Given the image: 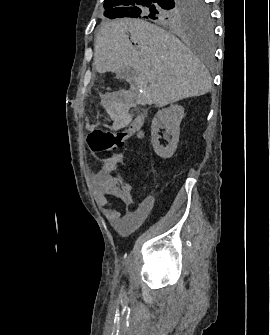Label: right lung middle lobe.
Wrapping results in <instances>:
<instances>
[{
  "instance_id": "right-lung-middle-lobe-1",
  "label": "right lung middle lobe",
  "mask_w": 270,
  "mask_h": 335,
  "mask_svg": "<svg viewBox=\"0 0 270 335\" xmlns=\"http://www.w3.org/2000/svg\"><path fill=\"white\" fill-rule=\"evenodd\" d=\"M104 16L146 19L162 27L209 43L213 36L211 11L205 0H105Z\"/></svg>"
}]
</instances>
